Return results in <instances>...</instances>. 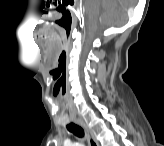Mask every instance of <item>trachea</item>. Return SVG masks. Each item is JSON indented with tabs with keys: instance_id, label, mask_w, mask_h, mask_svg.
Instances as JSON below:
<instances>
[{
	"instance_id": "trachea-1",
	"label": "trachea",
	"mask_w": 164,
	"mask_h": 146,
	"mask_svg": "<svg viewBox=\"0 0 164 146\" xmlns=\"http://www.w3.org/2000/svg\"><path fill=\"white\" fill-rule=\"evenodd\" d=\"M67 129L69 132L73 133L77 137L82 138L84 136V130L74 123L68 124Z\"/></svg>"
}]
</instances>
